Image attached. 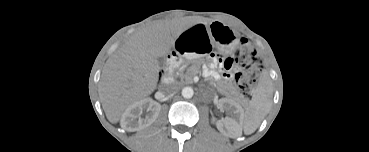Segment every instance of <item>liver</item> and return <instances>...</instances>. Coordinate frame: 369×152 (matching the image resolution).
<instances>
[{"label":"liver","mask_w":369,"mask_h":152,"mask_svg":"<svg viewBox=\"0 0 369 152\" xmlns=\"http://www.w3.org/2000/svg\"><path fill=\"white\" fill-rule=\"evenodd\" d=\"M186 27L176 20L150 24L126 40L106 61L99 96L107 119L117 123L132 104L154 92L158 59L166 56Z\"/></svg>","instance_id":"obj_1"}]
</instances>
